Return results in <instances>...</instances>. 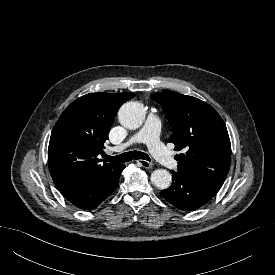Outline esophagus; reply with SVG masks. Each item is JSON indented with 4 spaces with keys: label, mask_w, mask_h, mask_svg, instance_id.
Masks as SVG:
<instances>
[{
    "label": "esophagus",
    "mask_w": 275,
    "mask_h": 275,
    "mask_svg": "<svg viewBox=\"0 0 275 275\" xmlns=\"http://www.w3.org/2000/svg\"><path fill=\"white\" fill-rule=\"evenodd\" d=\"M137 163L140 166H142V167H144L146 169L151 168L153 166V164L151 162L143 160V159L137 160Z\"/></svg>",
    "instance_id": "obj_1"
}]
</instances>
